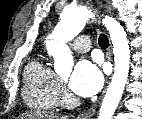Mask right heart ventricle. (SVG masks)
<instances>
[{
  "label": "right heart ventricle",
  "instance_id": "obj_1",
  "mask_svg": "<svg viewBox=\"0 0 142 119\" xmlns=\"http://www.w3.org/2000/svg\"><path fill=\"white\" fill-rule=\"evenodd\" d=\"M58 76L40 59L31 61L23 73L22 96L33 108L53 109L58 104Z\"/></svg>",
  "mask_w": 142,
  "mask_h": 119
}]
</instances>
